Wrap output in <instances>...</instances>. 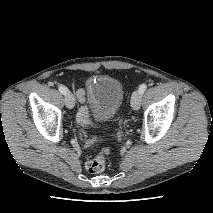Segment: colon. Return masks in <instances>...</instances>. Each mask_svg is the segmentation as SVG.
I'll use <instances>...</instances> for the list:
<instances>
[{
  "mask_svg": "<svg viewBox=\"0 0 213 213\" xmlns=\"http://www.w3.org/2000/svg\"><path fill=\"white\" fill-rule=\"evenodd\" d=\"M111 146L105 145L100 152L86 162V170L91 174H98L104 171L106 166V156L111 152Z\"/></svg>",
  "mask_w": 213,
  "mask_h": 213,
  "instance_id": "colon-1",
  "label": "colon"
}]
</instances>
